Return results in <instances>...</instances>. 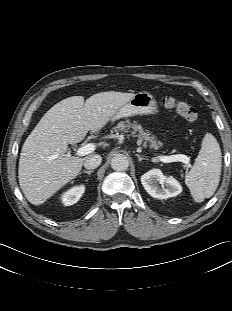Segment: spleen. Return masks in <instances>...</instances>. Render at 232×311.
Returning a JSON list of instances; mask_svg holds the SVG:
<instances>
[{"label": "spleen", "mask_w": 232, "mask_h": 311, "mask_svg": "<svg viewBox=\"0 0 232 311\" xmlns=\"http://www.w3.org/2000/svg\"><path fill=\"white\" fill-rule=\"evenodd\" d=\"M222 153L216 138L205 134L202 147L191 170L185 177V183L196 202L211 197L220 181Z\"/></svg>", "instance_id": "obj_1"}]
</instances>
